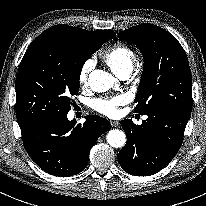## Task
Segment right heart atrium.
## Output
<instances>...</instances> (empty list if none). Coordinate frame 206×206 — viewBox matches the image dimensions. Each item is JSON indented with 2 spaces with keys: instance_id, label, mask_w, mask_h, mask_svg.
Instances as JSON below:
<instances>
[{
  "instance_id": "right-heart-atrium-1",
  "label": "right heart atrium",
  "mask_w": 206,
  "mask_h": 206,
  "mask_svg": "<svg viewBox=\"0 0 206 206\" xmlns=\"http://www.w3.org/2000/svg\"><path fill=\"white\" fill-rule=\"evenodd\" d=\"M95 62L92 58H88L83 62L78 73V82L81 86L88 84V79L91 71L94 69Z\"/></svg>"
}]
</instances>
